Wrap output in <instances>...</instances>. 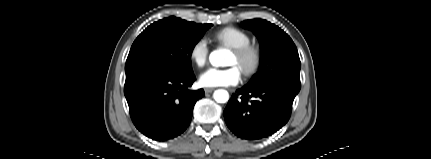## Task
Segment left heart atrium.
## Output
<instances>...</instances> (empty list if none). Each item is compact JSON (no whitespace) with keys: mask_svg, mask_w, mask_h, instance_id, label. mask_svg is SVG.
I'll use <instances>...</instances> for the list:
<instances>
[{"mask_svg":"<svg viewBox=\"0 0 431 159\" xmlns=\"http://www.w3.org/2000/svg\"><path fill=\"white\" fill-rule=\"evenodd\" d=\"M241 80V71L237 66L226 69L209 68L200 76V84L204 87L236 85Z\"/></svg>","mask_w":431,"mask_h":159,"instance_id":"obj_1","label":"left heart atrium"}]
</instances>
